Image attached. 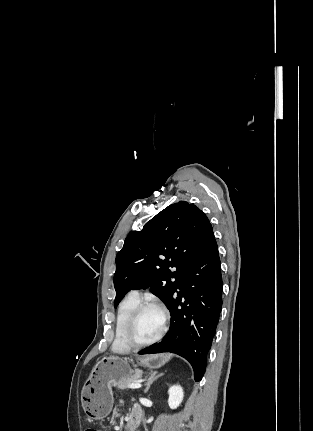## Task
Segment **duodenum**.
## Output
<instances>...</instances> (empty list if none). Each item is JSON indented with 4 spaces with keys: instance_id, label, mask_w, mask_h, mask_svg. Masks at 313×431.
Returning <instances> with one entry per match:
<instances>
[{
    "instance_id": "410a0bca",
    "label": "duodenum",
    "mask_w": 313,
    "mask_h": 431,
    "mask_svg": "<svg viewBox=\"0 0 313 431\" xmlns=\"http://www.w3.org/2000/svg\"><path fill=\"white\" fill-rule=\"evenodd\" d=\"M139 421H140V415L136 413L131 414L127 421V429L129 431H132Z\"/></svg>"
}]
</instances>
